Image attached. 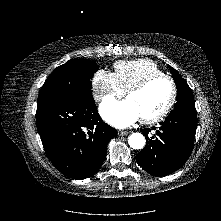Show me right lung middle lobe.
Returning <instances> with one entry per match:
<instances>
[{"label":"right lung middle lobe","mask_w":221,"mask_h":221,"mask_svg":"<svg viewBox=\"0 0 221 221\" xmlns=\"http://www.w3.org/2000/svg\"><path fill=\"white\" fill-rule=\"evenodd\" d=\"M98 69V66L89 60L67 61L57 67L46 79L38 96V103L90 92L91 78Z\"/></svg>","instance_id":"obj_1"}]
</instances>
